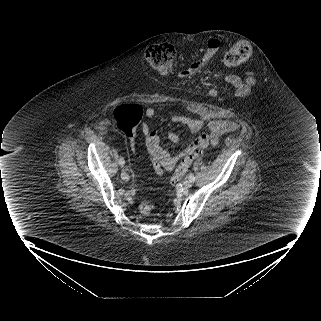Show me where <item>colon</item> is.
Segmentation results:
<instances>
[{"label": "colon", "instance_id": "1", "mask_svg": "<svg viewBox=\"0 0 321 321\" xmlns=\"http://www.w3.org/2000/svg\"><path fill=\"white\" fill-rule=\"evenodd\" d=\"M251 54V46L246 41H239L234 44L225 54L222 60V67L230 69L244 63ZM145 58L151 68L160 75H169L174 69L176 60L175 48L170 44H157L150 46L145 53ZM144 116L143 108L138 104H123L119 106L114 113V120L117 127L125 133L132 135ZM208 143L206 135L200 136L195 141L196 149L205 146ZM199 154L194 153L185 156L179 163L175 173L172 175L170 182L172 184L180 181L193 159ZM154 209L151 201L144 200L139 204V211L142 215L148 216Z\"/></svg>", "mask_w": 321, "mask_h": 321}]
</instances>
